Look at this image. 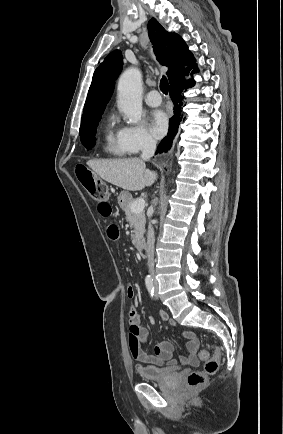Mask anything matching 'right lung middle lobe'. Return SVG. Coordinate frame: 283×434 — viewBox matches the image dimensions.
<instances>
[{
  "mask_svg": "<svg viewBox=\"0 0 283 434\" xmlns=\"http://www.w3.org/2000/svg\"><path fill=\"white\" fill-rule=\"evenodd\" d=\"M100 119L101 118L97 119L94 122L80 126V131H79L80 139L84 147L88 150L95 145L96 127Z\"/></svg>",
  "mask_w": 283,
  "mask_h": 434,
  "instance_id": "obj_1",
  "label": "right lung middle lobe"
}]
</instances>
